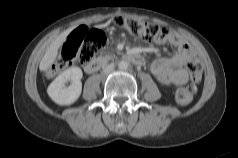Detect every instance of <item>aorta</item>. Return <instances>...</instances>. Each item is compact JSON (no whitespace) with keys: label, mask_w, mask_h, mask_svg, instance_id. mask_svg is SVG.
<instances>
[{"label":"aorta","mask_w":238,"mask_h":158,"mask_svg":"<svg viewBox=\"0 0 238 158\" xmlns=\"http://www.w3.org/2000/svg\"><path fill=\"white\" fill-rule=\"evenodd\" d=\"M118 67H119L120 70H127L128 67H129V64L126 61H120L118 63Z\"/></svg>","instance_id":"aorta-1"}]
</instances>
